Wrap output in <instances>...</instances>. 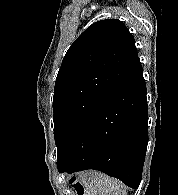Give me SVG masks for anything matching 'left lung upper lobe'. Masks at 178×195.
Here are the masks:
<instances>
[{"label": "left lung upper lobe", "instance_id": "obj_1", "mask_svg": "<svg viewBox=\"0 0 178 195\" xmlns=\"http://www.w3.org/2000/svg\"><path fill=\"white\" fill-rule=\"evenodd\" d=\"M141 69L134 37L119 20L98 21L74 41L54 88L57 159L85 123Z\"/></svg>", "mask_w": 178, "mask_h": 195}]
</instances>
